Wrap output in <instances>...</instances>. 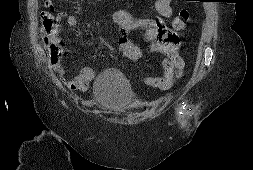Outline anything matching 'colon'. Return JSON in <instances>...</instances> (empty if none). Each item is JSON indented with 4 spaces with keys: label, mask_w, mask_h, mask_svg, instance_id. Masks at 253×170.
Instances as JSON below:
<instances>
[{
    "label": "colon",
    "mask_w": 253,
    "mask_h": 170,
    "mask_svg": "<svg viewBox=\"0 0 253 170\" xmlns=\"http://www.w3.org/2000/svg\"><path fill=\"white\" fill-rule=\"evenodd\" d=\"M189 14L188 11L183 9L179 13L180 22L176 24L177 27H182L183 23L188 20ZM42 29L46 34V47L50 60L54 63H57L63 55V46L62 42L58 37L52 36V31L54 28V19L50 13L43 12L41 16ZM153 86H158L154 81L150 82Z\"/></svg>",
    "instance_id": "obj_1"
}]
</instances>
